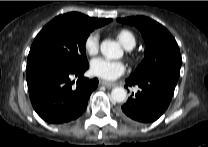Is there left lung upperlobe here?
I'll list each match as a JSON object with an SVG mask.
<instances>
[{
  "label": "left lung upper lobe",
  "mask_w": 208,
  "mask_h": 147,
  "mask_svg": "<svg viewBox=\"0 0 208 147\" xmlns=\"http://www.w3.org/2000/svg\"><path fill=\"white\" fill-rule=\"evenodd\" d=\"M118 21L140 30L146 46L144 59L131 78H142L153 73H166L179 78L182 63L179 47L164 26L144 16L121 18Z\"/></svg>",
  "instance_id": "left-lung-upper-lobe-1"
}]
</instances>
